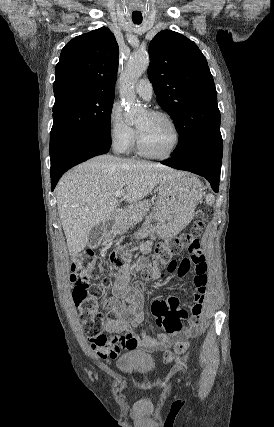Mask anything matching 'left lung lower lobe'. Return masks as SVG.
<instances>
[{"mask_svg": "<svg viewBox=\"0 0 274 427\" xmlns=\"http://www.w3.org/2000/svg\"><path fill=\"white\" fill-rule=\"evenodd\" d=\"M222 155L221 136L209 137L183 153H173L172 158L161 163L205 177L210 182L212 189L218 192Z\"/></svg>", "mask_w": 274, "mask_h": 427, "instance_id": "1", "label": "left lung lower lobe"}]
</instances>
